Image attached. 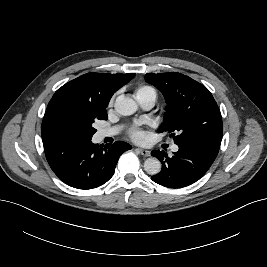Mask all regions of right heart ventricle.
I'll return each instance as SVG.
<instances>
[{
    "label": "right heart ventricle",
    "mask_w": 267,
    "mask_h": 267,
    "mask_svg": "<svg viewBox=\"0 0 267 267\" xmlns=\"http://www.w3.org/2000/svg\"><path fill=\"white\" fill-rule=\"evenodd\" d=\"M149 95L156 96V91L153 87L148 85H142L136 88L135 90V96L137 99L143 98Z\"/></svg>",
    "instance_id": "e07e8e85"
}]
</instances>
